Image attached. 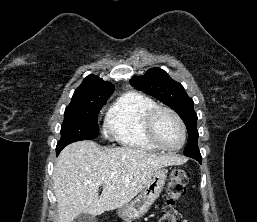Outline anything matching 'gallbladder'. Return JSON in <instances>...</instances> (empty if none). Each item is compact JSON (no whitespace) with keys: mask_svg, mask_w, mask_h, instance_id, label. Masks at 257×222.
<instances>
[{"mask_svg":"<svg viewBox=\"0 0 257 222\" xmlns=\"http://www.w3.org/2000/svg\"><path fill=\"white\" fill-rule=\"evenodd\" d=\"M73 222H97V219L90 214L81 213L73 220Z\"/></svg>","mask_w":257,"mask_h":222,"instance_id":"1","label":"gallbladder"}]
</instances>
